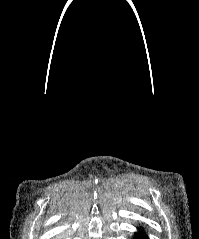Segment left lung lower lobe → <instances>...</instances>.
<instances>
[{
    "label": "left lung lower lobe",
    "mask_w": 199,
    "mask_h": 239,
    "mask_svg": "<svg viewBox=\"0 0 199 239\" xmlns=\"http://www.w3.org/2000/svg\"><path fill=\"white\" fill-rule=\"evenodd\" d=\"M133 239H149L144 231V229L139 230L137 233H135V236Z\"/></svg>",
    "instance_id": "obj_1"
}]
</instances>
